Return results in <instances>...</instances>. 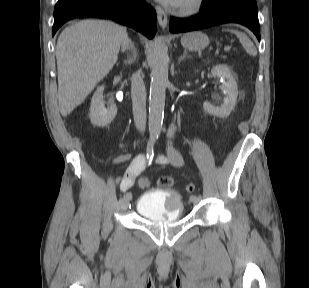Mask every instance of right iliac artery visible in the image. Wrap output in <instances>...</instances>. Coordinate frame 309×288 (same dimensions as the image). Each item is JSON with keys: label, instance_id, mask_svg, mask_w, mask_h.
<instances>
[{"label": "right iliac artery", "instance_id": "obj_1", "mask_svg": "<svg viewBox=\"0 0 309 288\" xmlns=\"http://www.w3.org/2000/svg\"><path fill=\"white\" fill-rule=\"evenodd\" d=\"M153 146H154V142L151 140L149 141L148 143V146H147V159L149 160V163H151L152 159H153V156H154V153H153ZM124 197L126 199H130L132 197V191L131 190H128L125 194H124Z\"/></svg>", "mask_w": 309, "mask_h": 288}]
</instances>
